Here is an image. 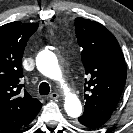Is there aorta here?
I'll return each instance as SVG.
<instances>
[{
    "label": "aorta",
    "instance_id": "obj_1",
    "mask_svg": "<svg viewBox=\"0 0 133 133\" xmlns=\"http://www.w3.org/2000/svg\"><path fill=\"white\" fill-rule=\"evenodd\" d=\"M38 70L46 77L61 83L64 91V108L68 116L77 118L82 113V105L76 94L64 83L57 57L50 51L41 52L36 58Z\"/></svg>",
    "mask_w": 133,
    "mask_h": 133
}]
</instances>
